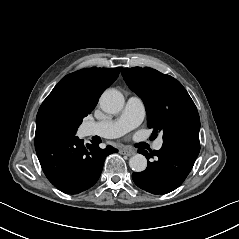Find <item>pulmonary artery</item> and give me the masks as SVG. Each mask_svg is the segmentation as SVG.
<instances>
[{
	"instance_id": "1",
	"label": "pulmonary artery",
	"mask_w": 239,
	"mask_h": 239,
	"mask_svg": "<svg viewBox=\"0 0 239 239\" xmlns=\"http://www.w3.org/2000/svg\"><path fill=\"white\" fill-rule=\"evenodd\" d=\"M145 116V108L142 99L136 95H130L121 115L114 120L92 121L85 124V135H99L104 138H118L130 130L138 127ZM162 138L154 145L156 150L161 149Z\"/></svg>"
}]
</instances>
